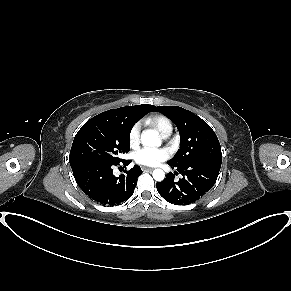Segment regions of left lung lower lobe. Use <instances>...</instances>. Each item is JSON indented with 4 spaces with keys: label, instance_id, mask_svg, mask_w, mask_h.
Masks as SVG:
<instances>
[{
    "label": "left lung lower lobe",
    "instance_id": "0a47b994",
    "mask_svg": "<svg viewBox=\"0 0 291 291\" xmlns=\"http://www.w3.org/2000/svg\"><path fill=\"white\" fill-rule=\"evenodd\" d=\"M222 159L205 158L186 162L180 166L169 164L172 169L182 174L178 181L169 173L162 181L156 183L159 194L169 203L186 205L195 202L208 192L215 184Z\"/></svg>",
    "mask_w": 291,
    "mask_h": 291
}]
</instances>
